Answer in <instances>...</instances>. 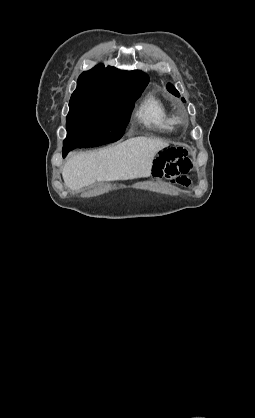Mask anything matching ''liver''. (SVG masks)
<instances>
[{"label": "liver", "mask_w": 255, "mask_h": 418, "mask_svg": "<svg viewBox=\"0 0 255 418\" xmlns=\"http://www.w3.org/2000/svg\"><path fill=\"white\" fill-rule=\"evenodd\" d=\"M168 146V142L159 139L135 137L101 151L78 153L62 169L64 183L70 190L78 191L96 180L149 177L155 155Z\"/></svg>", "instance_id": "liver-1"}]
</instances>
